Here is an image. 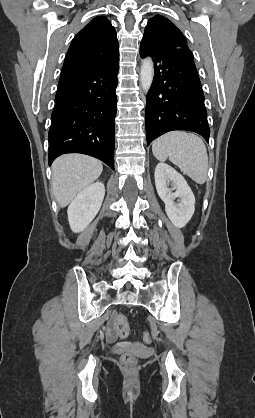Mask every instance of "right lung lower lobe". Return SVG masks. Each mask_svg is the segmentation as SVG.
<instances>
[{"mask_svg":"<svg viewBox=\"0 0 255 418\" xmlns=\"http://www.w3.org/2000/svg\"><path fill=\"white\" fill-rule=\"evenodd\" d=\"M119 60L61 74L48 134L49 164L64 153L96 157L114 169Z\"/></svg>","mask_w":255,"mask_h":418,"instance_id":"obj_1","label":"right lung lower lobe"}]
</instances>
